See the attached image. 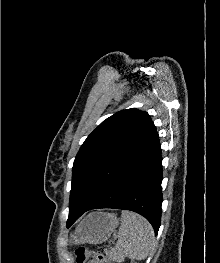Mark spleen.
Segmentation results:
<instances>
[{
    "instance_id": "spleen-1",
    "label": "spleen",
    "mask_w": 220,
    "mask_h": 263,
    "mask_svg": "<svg viewBox=\"0 0 220 263\" xmlns=\"http://www.w3.org/2000/svg\"><path fill=\"white\" fill-rule=\"evenodd\" d=\"M154 231L142 216L122 211L118 240L113 251L132 260L145 259L153 248Z\"/></svg>"
}]
</instances>
